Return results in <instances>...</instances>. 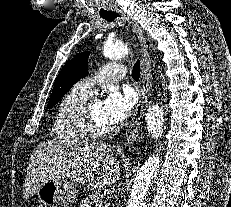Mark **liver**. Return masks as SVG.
I'll use <instances>...</instances> for the list:
<instances>
[{
  "instance_id": "obj_1",
  "label": "liver",
  "mask_w": 231,
  "mask_h": 207,
  "mask_svg": "<svg viewBox=\"0 0 231 207\" xmlns=\"http://www.w3.org/2000/svg\"><path fill=\"white\" fill-rule=\"evenodd\" d=\"M111 145L88 141H47L30 157L23 188L25 199L33 196L50 179L88 183L90 189L110 186L119 179L120 168Z\"/></svg>"
}]
</instances>
